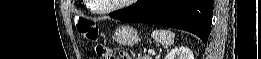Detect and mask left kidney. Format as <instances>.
Listing matches in <instances>:
<instances>
[{
  "label": "left kidney",
  "instance_id": "5707ae66",
  "mask_svg": "<svg viewBox=\"0 0 261 59\" xmlns=\"http://www.w3.org/2000/svg\"><path fill=\"white\" fill-rule=\"evenodd\" d=\"M164 59H194L192 51L187 47L173 48Z\"/></svg>",
  "mask_w": 261,
  "mask_h": 59
}]
</instances>
